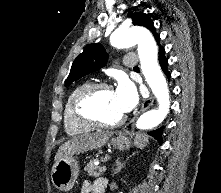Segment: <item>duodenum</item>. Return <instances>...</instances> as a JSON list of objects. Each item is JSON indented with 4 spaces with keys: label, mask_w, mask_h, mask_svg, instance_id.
<instances>
[{
    "label": "duodenum",
    "mask_w": 221,
    "mask_h": 193,
    "mask_svg": "<svg viewBox=\"0 0 221 193\" xmlns=\"http://www.w3.org/2000/svg\"><path fill=\"white\" fill-rule=\"evenodd\" d=\"M94 193H105V191L103 189H96Z\"/></svg>",
    "instance_id": "410a0bca"
}]
</instances>
